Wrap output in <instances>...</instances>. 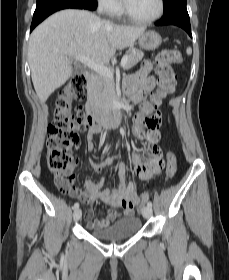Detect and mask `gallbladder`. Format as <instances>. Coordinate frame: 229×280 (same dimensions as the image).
I'll return each mask as SVG.
<instances>
[{
  "mask_svg": "<svg viewBox=\"0 0 229 280\" xmlns=\"http://www.w3.org/2000/svg\"><path fill=\"white\" fill-rule=\"evenodd\" d=\"M81 73H82L81 69L74 68L73 71H72V76L79 75Z\"/></svg>",
  "mask_w": 229,
  "mask_h": 280,
  "instance_id": "1",
  "label": "gallbladder"
}]
</instances>
